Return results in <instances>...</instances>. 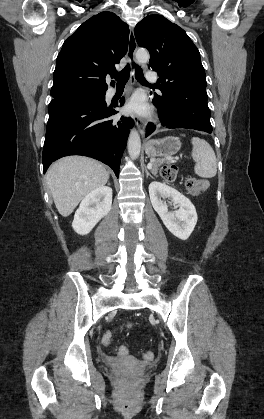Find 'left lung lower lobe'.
I'll use <instances>...</instances> for the list:
<instances>
[{"instance_id":"left-lung-lower-lobe-1","label":"left lung lower lobe","mask_w":264,"mask_h":419,"mask_svg":"<svg viewBox=\"0 0 264 419\" xmlns=\"http://www.w3.org/2000/svg\"><path fill=\"white\" fill-rule=\"evenodd\" d=\"M206 87H197L192 91L180 90L173 97L154 93L153 102L158 107L162 126L166 128H185L212 132L210 110L207 105ZM156 127L149 123L146 137Z\"/></svg>"}]
</instances>
